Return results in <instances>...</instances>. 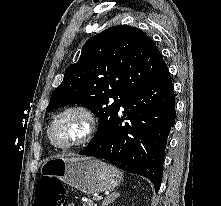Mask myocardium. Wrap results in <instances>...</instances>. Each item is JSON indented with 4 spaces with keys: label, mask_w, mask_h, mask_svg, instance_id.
I'll use <instances>...</instances> for the list:
<instances>
[{
    "label": "myocardium",
    "mask_w": 221,
    "mask_h": 206,
    "mask_svg": "<svg viewBox=\"0 0 221 206\" xmlns=\"http://www.w3.org/2000/svg\"><path fill=\"white\" fill-rule=\"evenodd\" d=\"M76 115L83 120V131L82 133L65 143H56L52 137V131L55 125L65 117ZM96 132V119L93 112L86 106L81 104H74L63 108L56 113L50 120L47 127V138L52 146L61 150H67L77 147H82L88 144Z\"/></svg>",
    "instance_id": "myocardium-1"
}]
</instances>
